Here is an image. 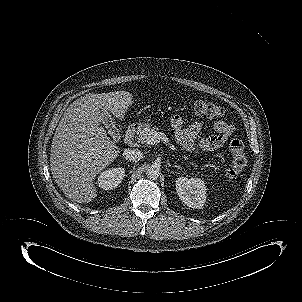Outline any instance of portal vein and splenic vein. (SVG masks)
Listing matches in <instances>:
<instances>
[{"label": "portal vein and splenic vein", "mask_w": 302, "mask_h": 302, "mask_svg": "<svg viewBox=\"0 0 302 302\" xmlns=\"http://www.w3.org/2000/svg\"><path fill=\"white\" fill-rule=\"evenodd\" d=\"M162 139H163L162 133H155L154 135L150 136L147 139L146 144L154 145V144L160 142V140H162Z\"/></svg>", "instance_id": "obj_1"}]
</instances>
